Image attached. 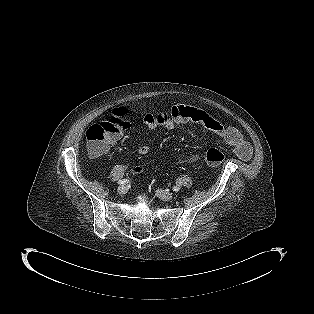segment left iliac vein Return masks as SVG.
<instances>
[{"label": "left iliac vein", "mask_w": 314, "mask_h": 314, "mask_svg": "<svg viewBox=\"0 0 314 314\" xmlns=\"http://www.w3.org/2000/svg\"><path fill=\"white\" fill-rule=\"evenodd\" d=\"M156 194L159 198H161L164 201H169V200H172L174 198L172 193H169V192L161 190V189H158L156 191Z\"/></svg>", "instance_id": "left-iliac-vein-1"}]
</instances>
